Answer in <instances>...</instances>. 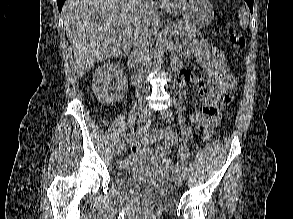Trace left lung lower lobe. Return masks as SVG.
Here are the masks:
<instances>
[{"mask_svg": "<svg viewBox=\"0 0 293 219\" xmlns=\"http://www.w3.org/2000/svg\"><path fill=\"white\" fill-rule=\"evenodd\" d=\"M246 3L248 4L250 11L253 13V1L254 0H245Z\"/></svg>", "mask_w": 293, "mask_h": 219, "instance_id": "obj_1", "label": "left lung lower lobe"}]
</instances>
